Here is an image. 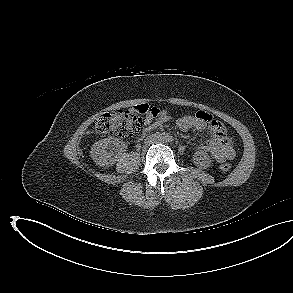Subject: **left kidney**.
<instances>
[{"mask_svg": "<svg viewBox=\"0 0 293 293\" xmlns=\"http://www.w3.org/2000/svg\"><path fill=\"white\" fill-rule=\"evenodd\" d=\"M193 161L196 166L202 169H207L211 166L212 160L206 152H196L193 156Z\"/></svg>", "mask_w": 293, "mask_h": 293, "instance_id": "obj_1", "label": "left kidney"}]
</instances>
